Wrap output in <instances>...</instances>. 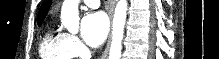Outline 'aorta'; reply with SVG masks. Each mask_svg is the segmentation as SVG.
<instances>
[{"label":"aorta","mask_w":219,"mask_h":59,"mask_svg":"<svg viewBox=\"0 0 219 59\" xmlns=\"http://www.w3.org/2000/svg\"><path fill=\"white\" fill-rule=\"evenodd\" d=\"M79 0H64L61 8V23L71 33L79 30ZM127 0H119L113 17L112 42L109 59H120L122 52V40L124 25L127 15Z\"/></svg>","instance_id":"1"}]
</instances>
